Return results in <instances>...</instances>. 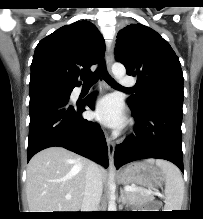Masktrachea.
I'll return each instance as SVG.
<instances>
[{"mask_svg":"<svg viewBox=\"0 0 203 219\" xmlns=\"http://www.w3.org/2000/svg\"><path fill=\"white\" fill-rule=\"evenodd\" d=\"M101 74L103 76V78L105 79V81L113 88H117V89H125L124 87H122L120 84H118L113 78H111L109 76V74L107 73L106 67L104 62H102L98 69L91 75L89 76H83L82 79L84 81V85H93L97 82V80L101 77Z\"/></svg>","mask_w":203,"mask_h":219,"instance_id":"trachea-1","label":"trachea"}]
</instances>
